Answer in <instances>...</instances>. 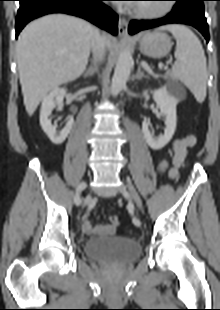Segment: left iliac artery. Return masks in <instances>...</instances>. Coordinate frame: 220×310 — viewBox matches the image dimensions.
<instances>
[{"label":"left iliac artery","instance_id":"obj_1","mask_svg":"<svg viewBox=\"0 0 220 310\" xmlns=\"http://www.w3.org/2000/svg\"><path fill=\"white\" fill-rule=\"evenodd\" d=\"M127 210H128V212L130 213V215L132 216V222H133V224L135 225V226H141V221H140V219L137 217V216H135V214H134V205L132 204V203H128L127 204Z\"/></svg>","mask_w":220,"mask_h":310}]
</instances>
